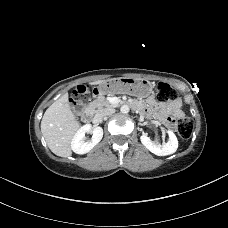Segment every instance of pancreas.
Listing matches in <instances>:
<instances>
[{
    "mask_svg": "<svg viewBox=\"0 0 228 228\" xmlns=\"http://www.w3.org/2000/svg\"><path fill=\"white\" fill-rule=\"evenodd\" d=\"M93 109H96L97 113L102 112L105 108H112L115 107V105L111 104L107 99L104 97H100L97 100H94L89 105Z\"/></svg>",
    "mask_w": 228,
    "mask_h": 228,
    "instance_id": "1",
    "label": "pancreas"
}]
</instances>
